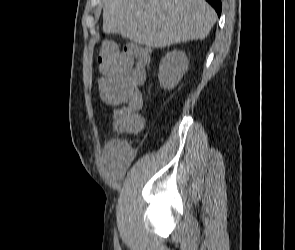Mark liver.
Masks as SVG:
<instances>
[{
  "label": "liver",
  "mask_w": 295,
  "mask_h": 250,
  "mask_svg": "<svg viewBox=\"0 0 295 250\" xmlns=\"http://www.w3.org/2000/svg\"><path fill=\"white\" fill-rule=\"evenodd\" d=\"M205 0H104L103 31L141 45L164 48L203 40L216 22Z\"/></svg>",
  "instance_id": "1"
}]
</instances>
